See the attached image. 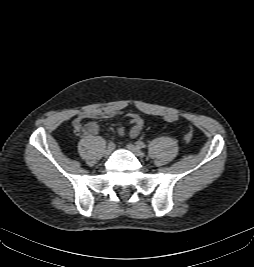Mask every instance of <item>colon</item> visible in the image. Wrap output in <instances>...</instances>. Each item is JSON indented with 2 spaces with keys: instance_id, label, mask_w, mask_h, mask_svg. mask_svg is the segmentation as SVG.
Returning a JSON list of instances; mask_svg holds the SVG:
<instances>
[{
  "instance_id": "colon-1",
  "label": "colon",
  "mask_w": 254,
  "mask_h": 267,
  "mask_svg": "<svg viewBox=\"0 0 254 267\" xmlns=\"http://www.w3.org/2000/svg\"><path fill=\"white\" fill-rule=\"evenodd\" d=\"M165 120H166L167 122H169V123H174V122H176V121L178 120V116L175 115V114H170V115L165 116ZM192 135H193V131H192V129H189V130L186 132V134H185V136H184V139H185L187 142H189V141L191 140V138H192Z\"/></svg>"
}]
</instances>
